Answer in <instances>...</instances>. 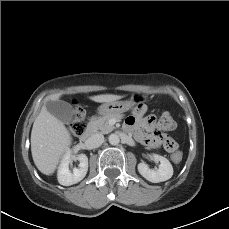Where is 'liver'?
<instances>
[{"label": "liver", "mask_w": 229, "mask_h": 229, "mask_svg": "<svg viewBox=\"0 0 229 229\" xmlns=\"http://www.w3.org/2000/svg\"><path fill=\"white\" fill-rule=\"evenodd\" d=\"M60 96L61 93L51 94L45 101H57ZM122 97L115 94H101L89 98L95 102L109 103ZM71 144L72 138L63 122L43 105L31 132V153L38 170L45 175L53 174Z\"/></svg>", "instance_id": "6515ba94"}]
</instances>
